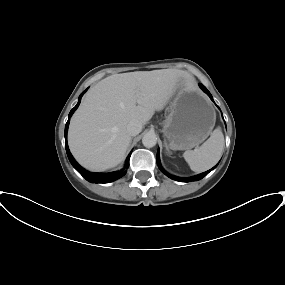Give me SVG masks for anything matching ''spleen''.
<instances>
[{
  "label": "spleen",
  "instance_id": "spleen-1",
  "mask_svg": "<svg viewBox=\"0 0 285 285\" xmlns=\"http://www.w3.org/2000/svg\"><path fill=\"white\" fill-rule=\"evenodd\" d=\"M224 136L220 128L215 129L199 148L187 150L183 157L194 172H203L213 167L220 159Z\"/></svg>",
  "mask_w": 285,
  "mask_h": 285
}]
</instances>
